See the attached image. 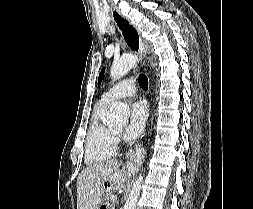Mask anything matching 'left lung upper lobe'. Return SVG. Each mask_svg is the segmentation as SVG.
Instances as JSON below:
<instances>
[{
	"label": "left lung upper lobe",
	"mask_w": 253,
	"mask_h": 209,
	"mask_svg": "<svg viewBox=\"0 0 253 209\" xmlns=\"http://www.w3.org/2000/svg\"><path fill=\"white\" fill-rule=\"evenodd\" d=\"M103 74H104V68L101 70V73L99 74L98 86H100V83H101V81H102Z\"/></svg>",
	"instance_id": "1"
}]
</instances>
